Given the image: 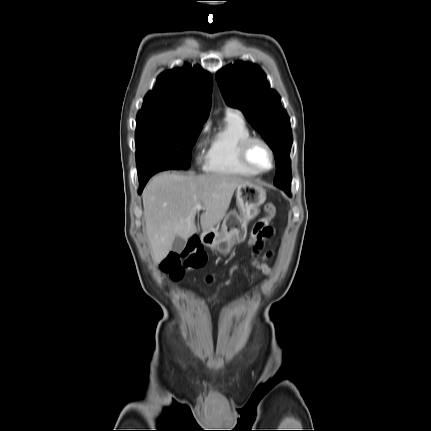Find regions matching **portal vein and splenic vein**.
Segmentation results:
<instances>
[{
    "label": "portal vein and splenic vein",
    "mask_w": 431,
    "mask_h": 431,
    "mask_svg": "<svg viewBox=\"0 0 431 431\" xmlns=\"http://www.w3.org/2000/svg\"><path fill=\"white\" fill-rule=\"evenodd\" d=\"M194 209L199 211V210L203 209V207H202L201 203H197Z\"/></svg>",
    "instance_id": "1"
}]
</instances>
